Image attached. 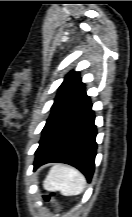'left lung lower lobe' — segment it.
I'll list each match as a JSON object with an SVG mask.
<instances>
[{
    "label": "left lung lower lobe",
    "instance_id": "0a47b994",
    "mask_svg": "<svg viewBox=\"0 0 132 217\" xmlns=\"http://www.w3.org/2000/svg\"><path fill=\"white\" fill-rule=\"evenodd\" d=\"M94 112L86 92L67 106L43 131L34 169L49 162L70 164L91 181L96 155Z\"/></svg>",
    "mask_w": 132,
    "mask_h": 217
}]
</instances>
